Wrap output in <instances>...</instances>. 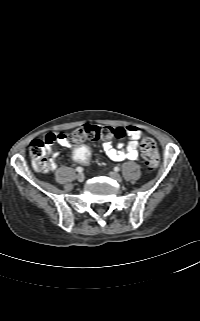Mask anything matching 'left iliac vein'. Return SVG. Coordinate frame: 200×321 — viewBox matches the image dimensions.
Segmentation results:
<instances>
[{"mask_svg": "<svg viewBox=\"0 0 200 321\" xmlns=\"http://www.w3.org/2000/svg\"><path fill=\"white\" fill-rule=\"evenodd\" d=\"M109 176L117 182L122 181V177L117 172L111 171V172H109Z\"/></svg>", "mask_w": 200, "mask_h": 321, "instance_id": "obj_1", "label": "left iliac vein"}]
</instances>
